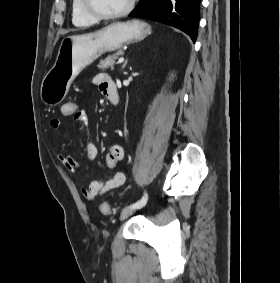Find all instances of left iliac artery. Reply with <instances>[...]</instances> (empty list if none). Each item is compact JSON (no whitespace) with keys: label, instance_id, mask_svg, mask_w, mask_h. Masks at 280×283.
<instances>
[{"label":"left iliac artery","instance_id":"44dca946","mask_svg":"<svg viewBox=\"0 0 280 283\" xmlns=\"http://www.w3.org/2000/svg\"><path fill=\"white\" fill-rule=\"evenodd\" d=\"M148 201V194L144 193L143 197L132 205V207L139 209L146 205Z\"/></svg>","mask_w":280,"mask_h":283}]
</instances>
